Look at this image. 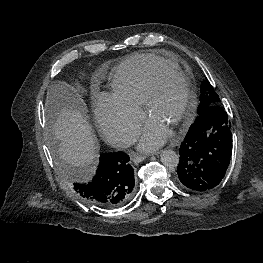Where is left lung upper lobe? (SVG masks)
Listing matches in <instances>:
<instances>
[{
  "label": "left lung upper lobe",
  "mask_w": 263,
  "mask_h": 263,
  "mask_svg": "<svg viewBox=\"0 0 263 263\" xmlns=\"http://www.w3.org/2000/svg\"><path fill=\"white\" fill-rule=\"evenodd\" d=\"M201 96H200V105L197 109L198 117L195 122L191 125L190 128L194 127L198 119L206 113L212 106L219 105L220 99L219 96L214 91V88L207 79L203 80L201 85Z\"/></svg>",
  "instance_id": "obj_1"
}]
</instances>
